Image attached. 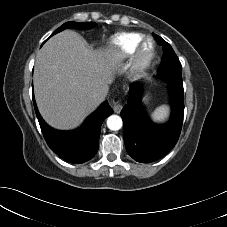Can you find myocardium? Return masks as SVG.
<instances>
[{
    "instance_id": "f54148a6",
    "label": "myocardium",
    "mask_w": 227,
    "mask_h": 227,
    "mask_svg": "<svg viewBox=\"0 0 227 227\" xmlns=\"http://www.w3.org/2000/svg\"><path fill=\"white\" fill-rule=\"evenodd\" d=\"M156 55V44L151 37H145L134 52L132 68L136 73L149 69Z\"/></svg>"
}]
</instances>
